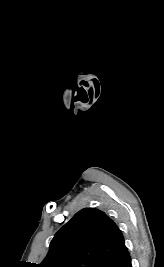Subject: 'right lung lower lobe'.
<instances>
[{"label":"right lung lower lobe","mask_w":164,"mask_h":267,"mask_svg":"<svg viewBox=\"0 0 164 267\" xmlns=\"http://www.w3.org/2000/svg\"><path fill=\"white\" fill-rule=\"evenodd\" d=\"M99 267H132L131 258L126 246L106 259Z\"/></svg>","instance_id":"98d812e1"}]
</instances>
